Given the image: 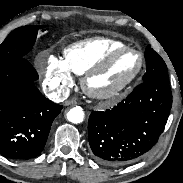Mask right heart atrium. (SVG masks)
I'll use <instances>...</instances> for the list:
<instances>
[{
  "instance_id": "right-heart-atrium-1",
  "label": "right heart atrium",
  "mask_w": 183,
  "mask_h": 183,
  "mask_svg": "<svg viewBox=\"0 0 183 183\" xmlns=\"http://www.w3.org/2000/svg\"><path fill=\"white\" fill-rule=\"evenodd\" d=\"M44 84L54 95H65L73 85V79L63 61L50 55L43 65L38 64Z\"/></svg>"
}]
</instances>
